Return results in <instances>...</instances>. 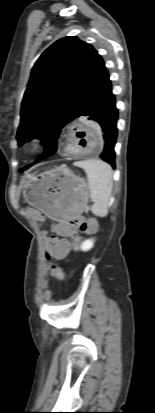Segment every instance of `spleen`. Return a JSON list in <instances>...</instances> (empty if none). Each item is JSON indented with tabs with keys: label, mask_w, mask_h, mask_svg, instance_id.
<instances>
[{
	"label": "spleen",
	"mask_w": 155,
	"mask_h": 413,
	"mask_svg": "<svg viewBox=\"0 0 155 413\" xmlns=\"http://www.w3.org/2000/svg\"><path fill=\"white\" fill-rule=\"evenodd\" d=\"M82 168L88 179L90 198L93 202L91 211L98 217L108 214L113 186V171L109 164L97 159H87L74 163Z\"/></svg>",
	"instance_id": "spleen-1"
}]
</instances>
